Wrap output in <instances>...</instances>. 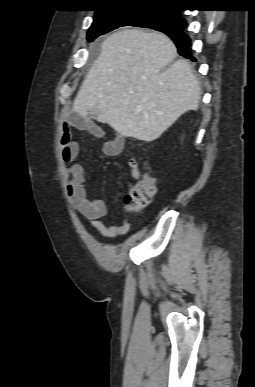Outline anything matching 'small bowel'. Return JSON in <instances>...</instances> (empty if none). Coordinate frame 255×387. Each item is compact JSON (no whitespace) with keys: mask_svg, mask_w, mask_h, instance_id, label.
Wrapping results in <instances>:
<instances>
[{"mask_svg":"<svg viewBox=\"0 0 255 387\" xmlns=\"http://www.w3.org/2000/svg\"><path fill=\"white\" fill-rule=\"evenodd\" d=\"M89 130L92 133L101 136V129L93 124L91 120L83 115L74 114L64 119L61 125L60 147L62 159L65 162H72L79 154L81 143L74 139L72 129ZM125 144L124 137L117 134L113 139L106 140L103 143V152L107 156H118L123 151ZM130 169V176L133 179H139L141 176L138 162L135 158H129L127 161ZM67 195L73 208L86 220L91 226L105 237H116L125 234L130 229V223L124 219L120 225L107 226L100 221L107 213L105 201L96 196L88 194L85 182V170L81 164H74L67 168Z\"/></svg>","mask_w":255,"mask_h":387,"instance_id":"c3829d8e","label":"small bowel"}]
</instances>
